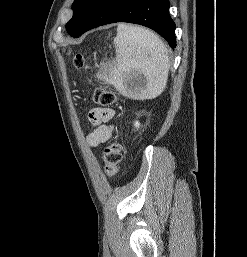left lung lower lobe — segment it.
Returning a JSON list of instances; mask_svg holds the SVG:
<instances>
[{"mask_svg":"<svg viewBox=\"0 0 247 257\" xmlns=\"http://www.w3.org/2000/svg\"><path fill=\"white\" fill-rule=\"evenodd\" d=\"M115 22L149 27L166 39L172 48L176 47L175 23L169 14L168 0H97L72 37L78 38L88 30Z\"/></svg>","mask_w":247,"mask_h":257,"instance_id":"1","label":"left lung lower lobe"}]
</instances>
